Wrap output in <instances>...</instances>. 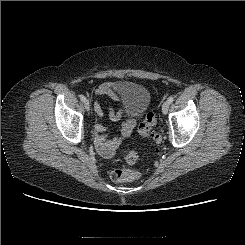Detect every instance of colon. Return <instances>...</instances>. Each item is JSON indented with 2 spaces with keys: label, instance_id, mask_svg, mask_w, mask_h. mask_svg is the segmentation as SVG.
<instances>
[{
  "label": "colon",
  "instance_id": "colon-1",
  "mask_svg": "<svg viewBox=\"0 0 245 245\" xmlns=\"http://www.w3.org/2000/svg\"><path fill=\"white\" fill-rule=\"evenodd\" d=\"M156 124V118L153 113H148L145 119L139 124L138 132L143 137L152 139L155 142L160 141V136L153 131ZM125 159L128 163L133 164L138 160V153L135 150H127ZM140 173L126 168L115 169L111 173V179L115 182H131L138 180Z\"/></svg>",
  "mask_w": 245,
  "mask_h": 245
}]
</instances>
